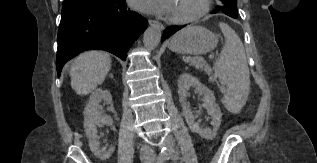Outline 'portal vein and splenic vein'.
<instances>
[{"label":"portal vein and splenic vein","mask_w":317,"mask_h":163,"mask_svg":"<svg viewBox=\"0 0 317 163\" xmlns=\"http://www.w3.org/2000/svg\"><path fill=\"white\" fill-rule=\"evenodd\" d=\"M190 62H195V60H190Z\"/></svg>","instance_id":"18ae733b"}]
</instances>
